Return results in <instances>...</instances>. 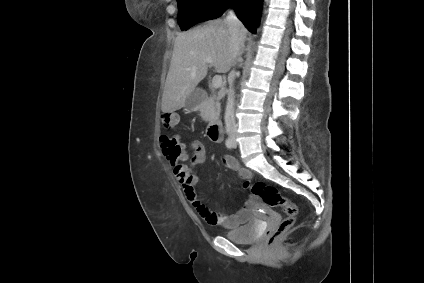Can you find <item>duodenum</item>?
Listing matches in <instances>:
<instances>
[{
	"label": "duodenum",
	"mask_w": 424,
	"mask_h": 283,
	"mask_svg": "<svg viewBox=\"0 0 424 283\" xmlns=\"http://www.w3.org/2000/svg\"><path fill=\"white\" fill-rule=\"evenodd\" d=\"M207 134L213 141L219 142L223 138V126L221 121L213 119L209 121Z\"/></svg>",
	"instance_id": "duodenum-1"
}]
</instances>
